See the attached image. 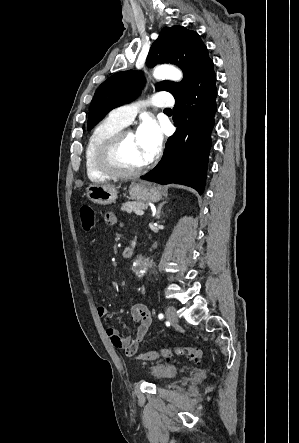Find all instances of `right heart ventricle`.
<instances>
[{
	"label": "right heart ventricle",
	"instance_id": "obj_1",
	"mask_svg": "<svg viewBox=\"0 0 299 443\" xmlns=\"http://www.w3.org/2000/svg\"><path fill=\"white\" fill-rule=\"evenodd\" d=\"M125 127L110 115L99 122L92 130L85 148V169L90 181L100 183L108 180L110 176L101 171L97 164V154L100 146L111 136Z\"/></svg>",
	"mask_w": 299,
	"mask_h": 443
}]
</instances>
